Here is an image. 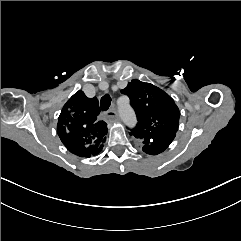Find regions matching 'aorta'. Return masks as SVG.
Listing matches in <instances>:
<instances>
[{
  "mask_svg": "<svg viewBox=\"0 0 241 241\" xmlns=\"http://www.w3.org/2000/svg\"><path fill=\"white\" fill-rule=\"evenodd\" d=\"M119 112L124 123H126L127 125L135 124V115L133 110L129 107V105H121L119 107Z\"/></svg>",
  "mask_w": 241,
  "mask_h": 241,
  "instance_id": "aorta-1",
  "label": "aorta"
}]
</instances>
